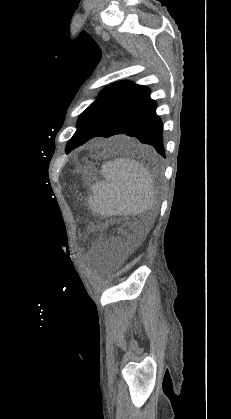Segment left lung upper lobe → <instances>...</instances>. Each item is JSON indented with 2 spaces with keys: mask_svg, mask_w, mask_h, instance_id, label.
<instances>
[{
  "mask_svg": "<svg viewBox=\"0 0 231 419\" xmlns=\"http://www.w3.org/2000/svg\"><path fill=\"white\" fill-rule=\"evenodd\" d=\"M139 87L128 81L109 85L78 118L77 131L66 146V152L76 148L87 134L115 107L124 102Z\"/></svg>",
  "mask_w": 231,
  "mask_h": 419,
  "instance_id": "left-lung-upper-lobe-1",
  "label": "left lung upper lobe"
}]
</instances>
